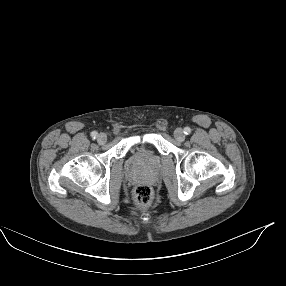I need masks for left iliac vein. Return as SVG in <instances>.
Returning a JSON list of instances; mask_svg holds the SVG:
<instances>
[{
  "mask_svg": "<svg viewBox=\"0 0 286 286\" xmlns=\"http://www.w3.org/2000/svg\"><path fill=\"white\" fill-rule=\"evenodd\" d=\"M174 137L177 141L182 142L185 139V134L182 129L178 128L174 132Z\"/></svg>",
  "mask_w": 286,
  "mask_h": 286,
  "instance_id": "obj_1",
  "label": "left iliac vein"
}]
</instances>
